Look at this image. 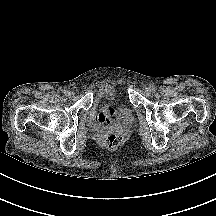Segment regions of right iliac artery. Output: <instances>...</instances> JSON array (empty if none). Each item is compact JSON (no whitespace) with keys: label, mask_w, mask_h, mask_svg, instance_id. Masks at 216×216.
Segmentation results:
<instances>
[{"label":"right iliac artery","mask_w":216,"mask_h":216,"mask_svg":"<svg viewBox=\"0 0 216 216\" xmlns=\"http://www.w3.org/2000/svg\"><path fill=\"white\" fill-rule=\"evenodd\" d=\"M64 94H65L66 96H69V95H70V91H69V90H65V91H64Z\"/></svg>","instance_id":"82829eb1"}]
</instances>
